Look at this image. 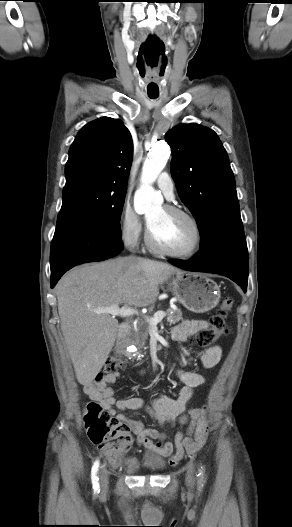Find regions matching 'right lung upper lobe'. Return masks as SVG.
Masks as SVG:
<instances>
[{
  "mask_svg": "<svg viewBox=\"0 0 292 527\" xmlns=\"http://www.w3.org/2000/svg\"><path fill=\"white\" fill-rule=\"evenodd\" d=\"M132 157V138L123 122L110 117L94 120L78 132L69 149L66 184L127 190Z\"/></svg>",
  "mask_w": 292,
  "mask_h": 527,
  "instance_id": "right-lung-upper-lobe-1",
  "label": "right lung upper lobe"
}]
</instances>
